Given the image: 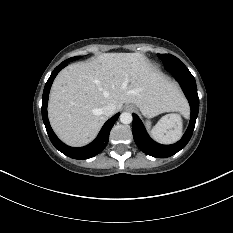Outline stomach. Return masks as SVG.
Wrapping results in <instances>:
<instances>
[{
    "instance_id": "0dacf381",
    "label": "stomach",
    "mask_w": 233,
    "mask_h": 233,
    "mask_svg": "<svg viewBox=\"0 0 233 233\" xmlns=\"http://www.w3.org/2000/svg\"><path fill=\"white\" fill-rule=\"evenodd\" d=\"M146 125H147L148 127H150V126H151V122H150V121H147V122H146Z\"/></svg>"
}]
</instances>
